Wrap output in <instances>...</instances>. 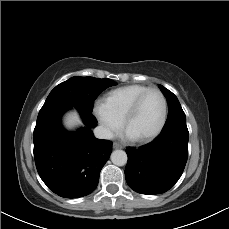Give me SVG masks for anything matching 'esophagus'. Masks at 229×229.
<instances>
[{
	"label": "esophagus",
	"mask_w": 229,
	"mask_h": 229,
	"mask_svg": "<svg viewBox=\"0 0 229 229\" xmlns=\"http://www.w3.org/2000/svg\"><path fill=\"white\" fill-rule=\"evenodd\" d=\"M113 148L114 149H121L122 145H120L119 143L115 142V143H113Z\"/></svg>",
	"instance_id": "1"
}]
</instances>
